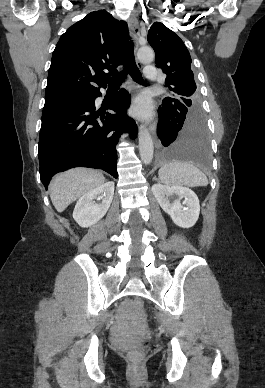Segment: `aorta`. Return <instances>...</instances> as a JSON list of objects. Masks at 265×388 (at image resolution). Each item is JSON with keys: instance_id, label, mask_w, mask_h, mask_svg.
<instances>
[{"instance_id": "762f6f07", "label": "aorta", "mask_w": 265, "mask_h": 388, "mask_svg": "<svg viewBox=\"0 0 265 388\" xmlns=\"http://www.w3.org/2000/svg\"><path fill=\"white\" fill-rule=\"evenodd\" d=\"M137 56L140 61L145 63L152 62L155 57L153 50L147 47L139 49ZM138 140L141 160L144 164H150L153 159L154 146L151 135L144 126L139 128Z\"/></svg>"}]
</instances>
